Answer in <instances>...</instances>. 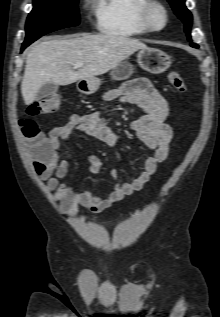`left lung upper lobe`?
<instances>
[{"instance_id": "5c2ea615", "label": "left lung upper lobe", "mask_w": 220, "mask_h": 317, "mask_svg": "<svg viewBox=\"0 0 220 317\" xmlns=\"http://www.w3.org/2000/svg\"><path fill=\"white\" fill-rule=\"evenodd\" d=\"M167 1L171 4L176 15L184 22L185 32L187 33L188 38L191 41V39H190V27L192 24V15H191L190 11L185 6V0H167ZM191 46H198V45L191 44Z\"/></svg>"}]
</instances>
